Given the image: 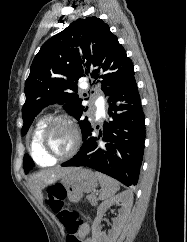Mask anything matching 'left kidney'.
Masks as SVG:
<instances>
[{
  "label": "left kidney",
  "instance_id": "1",
  "mask_svg": "<svg viewBox=\"0 0 187 242\" xmlns=\"http://www.w3.org/2000/svg\"><path fill=\"white\" fill-rule=\"evenodd\" d=\"M121 204V210L118 216L113 220L112 230L109 235L103 234L101 231V220L105 212L112 206ZM133 204V193L124 191L107 201L101 203L97 209V216L92 225V240L93 242H116L123 225L130 213Z\"/></svg>",
  "mask_w": 187,
  "mask_h": 242
}]
</instances>
